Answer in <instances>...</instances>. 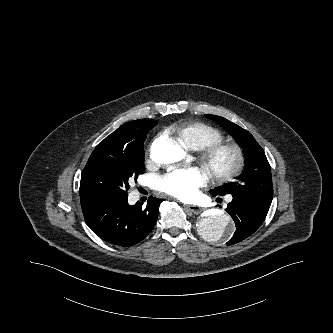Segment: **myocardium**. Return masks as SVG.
<instances>
[{
  "mask_svg": "<svg viewBox=\"0 0 333 333\" xmlns=\"http://www.w3.org/2000/svg\"><path fill=\"white\" fill-rule=\"evenodd\" d=\"M200 161L214 180L225 182L242 171L246 157L239 144L219 142L203 148Z\"/></svg>",
  "mask_w": 333,
  "mask_h": 333,
  "instance_id": "1",
  "label": "myocardium"
}]
</instances>
